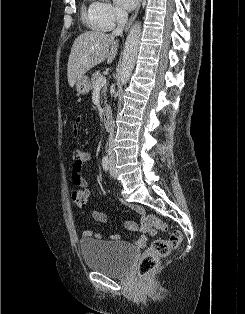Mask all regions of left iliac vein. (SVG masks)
I'll return each instance as SVG.
<instances>
[{
    "mask_svg": "<svg viewBox=\"0 0 245 314\" xmlns=\"http://www.w3.org/2000/svg\"><path fill=\"white\" fill-rule=\"evenodd\" d=\"M110 175L115 178L116 177V171H115V166L114 163L112 162L110 165Z\"/></svg>",
    "mask_w": 245,
    "mask_h": 314,
    "instance_id": "obj_1",
    "label": "left iliac vein"
}]
</instances>
